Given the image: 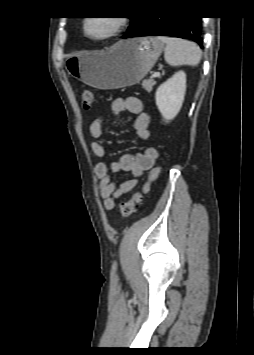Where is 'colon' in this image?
I'll return each mask as SVG.
<instances>
[{"mask_svg":"<svg viewBox=\"0 0 254 355\" xmlns=\"http://www.w3.org/2000/svg\"><path fill=\"white\" fill-rule=\"evenodd\" d=\"M95 101L96 95L92 91L84 90L81 93V102L85 109L92 108ZM159 173V166L152 168L148 174L147 180L143 183L141 190L134 193L130 199L120 204V214L122 217H128L136 211L138 205L142 201L143 195L149 191L151 183L156 180Z\"/></svg>","mask_w":254,"mask_h":355,"instance_id":"obj_1","label":"colon"}]
</instances>
